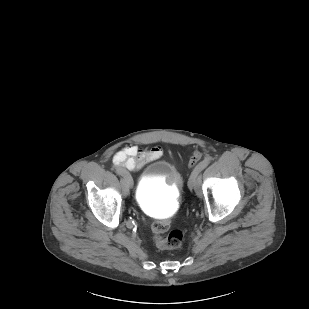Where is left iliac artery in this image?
Segmentation results:
<instances>
[{
  "label": "left iliac artery",
  "instance_id": "44dca946",
  "mask_svg": "<svg viewBox=\"0 0 309 309\" xmlns=\"http://www.w3.org/2000/svg\"><path fill=\"white\" fill-rule=\"evenodd\" d=\"M211 159L210 158H205L193 171L192 175L190 176V180L195 181L197 177V183L198 185H201V177L199 176V173L208 166L210 163ZM189 183V182H188Z\"/></svg>",
  "mask_w": 309,
  "mask_h": 309
}]
</instances>
